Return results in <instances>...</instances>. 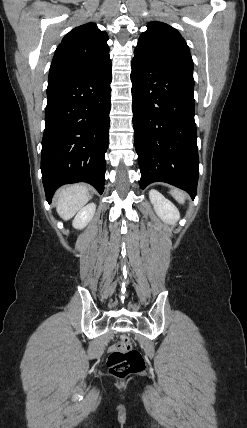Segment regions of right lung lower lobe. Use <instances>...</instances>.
Wrapping results in <instances>:
<instances>
[{"instance_id":"98d812e1","label":"right lung lower lobe","mask_w":247,"mask_h":428,"mask_svg":"<svg viewBox=\"0 0 247 428\" xmlns=\"http://www.w3.org/2000/svg\"><path fill=\"white\" fill-rule=\"evenodd\" d=\"M111 60L47 88L41 171L46 199L63 184L87 182L102 194L108 147Z\"/></svg>"}]
</instances>
